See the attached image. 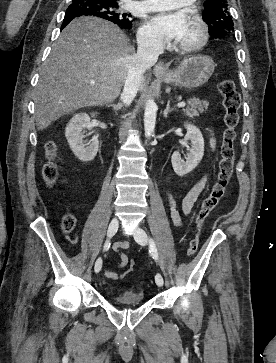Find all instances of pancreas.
I'll return each instance as SVG.
<instances>
[{
    "instance_id": "obj_1",
    "label": "pancreas",
    "mask_w": 276,
    "mask_h": 363,
    "mask_svg": "<svg viewBox=\"0 0 276 363\" xmlns=\"http://www.w3.org/2000/svg\"><path fill=\"white\" fill-rule=\"evenodd\" d=\"M187 103L188 106L183 111L190 118L199 116V113H203L204 111H206L209 106V103L207 101L196 98L188 100Z\"/></svg>"
}]
</instances>
